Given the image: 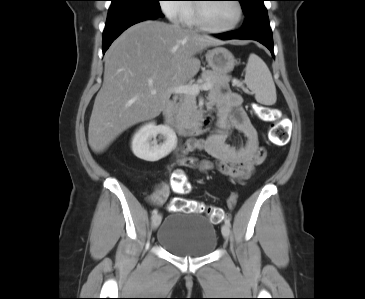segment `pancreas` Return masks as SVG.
<instances>
[{
	"label": "pancreas",
	"mask_w": 365,
	"mask_h": 299,
	"mask_svg": "<svg viewBox=\"0 0 365 299\" xmlns=\"http://www.w3.org/2000/svg\"><path fill=\"white\" fill-rule=\"evenodd\" d=\"M201 81L211 84V89H221L222 87H228L230 78L227 75L206 70L201 74ZM200 112L196 104V96L184 95L180 102L176 105L175 118L177 123L184 127L190 128L199 117Z\"/></svg>",
	"instance_id": "1"
}]
</instances>
